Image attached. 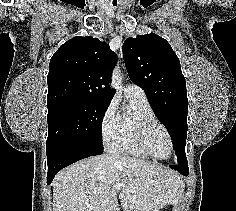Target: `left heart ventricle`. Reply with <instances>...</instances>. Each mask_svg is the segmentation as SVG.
Masks as SVG:
<instances>
[{
    "mask_svg": "<svg viewBox=\"0 0 236 211\" xmlns=\"http://www.w3.org/2000/svg\"><path fill=\"white\" fill-rule=\"evenodd\" d=\"M145 146L148 151L158 156H166L170 151L168 137L160 128H154L148 133Z\"/></svg>",
    "mask_w": 236,
    "mask_h": 211,
    "instance_id": "1",
    "label": "left heart ventricle"
}]
</instances>
